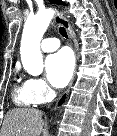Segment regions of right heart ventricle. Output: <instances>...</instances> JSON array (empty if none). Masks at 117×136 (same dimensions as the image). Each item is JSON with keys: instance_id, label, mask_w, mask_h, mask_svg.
Here are the masks:
<instances>
[{"instance_id": "1", "label": "right heart ventricle", "mask_w": 117, "mask_h": 136, "mask_svg": "<svg viewBox=\"0 0 117 136\" xmlns=\"http://www.w3.org/2000/svg\"><path fill=\"white\" fill-rule=\"evenodd\" d=\"M13 99L18 106L29 107L36 104L27 82L23 84H17L13 90Z\"/></svg>"}]
</instances>
